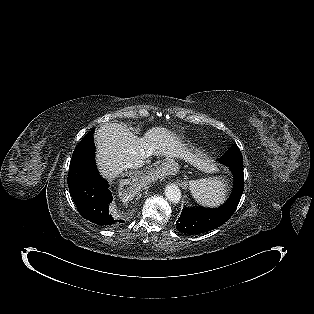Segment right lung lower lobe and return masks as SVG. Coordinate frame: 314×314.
Segmentation results:
<instances>
[{
  "label": "right lung lower lobe",
  "mask_w": 314,
  "mask_h": 314,
  "mask_svg": "<svg viewBox=\"0 0 314 314\" xmlns=\"http://www.w3.org/2000/svg\"><path fill=\"white\" fill-rule=\"evenodd\" d=\"M93 134L75 148L68 173L70 195L81 216L92 223L113 227L124 222L109 213L112 194L95 165Z\"/></svg>",
  "instance_id": "98d812e1"
}]
</instances>
